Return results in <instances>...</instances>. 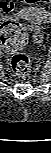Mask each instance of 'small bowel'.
Returning <instances> with one entry per match:
<instances>
[{
  "mask_svg": "<svg viewBox=\"0 0 51 153\" xmlns=\"http://www.w3.org/2000/svg\"><path fill=\"white\" fill-rule=\"evenodd\" d=\"M13 9V5L10 2H3L2 4V10L4 13H8L9 11H11ZM37 21H42L41 18H38Z\"/></svg>",
  "mask_w": 51,
  "mask_h": 153,
  "instance_id": "small-bowel-1",
  "label": "small bowel"
}]
</instances>
